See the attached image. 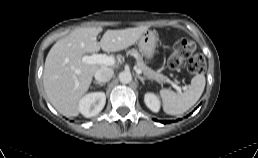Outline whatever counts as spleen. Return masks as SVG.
<instances>
[{
  "instance_id": "obj_1",
  "label": "spleen",
  "mask_w": 258,
  "mask_h": 158,
  "mask_svg": "<svg viewBox=\"0 0 258 158\" xmlns=\"http://www.w3.org/2000/svg\"><path fill=\"white\" fill-rule=\"evenodd\" d=\"M206 84L204 74H197L184 92L175 93L168 89L160 90L163 109L169 115H181L188 111L201 97Z\"/></svg>"
}]
</instances>
